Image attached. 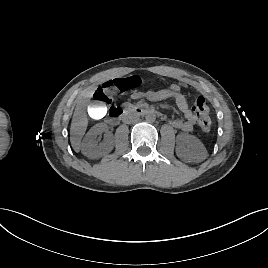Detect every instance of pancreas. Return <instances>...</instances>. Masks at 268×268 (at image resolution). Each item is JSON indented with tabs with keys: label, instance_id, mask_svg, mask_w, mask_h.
<instances>
[{
	"label": "pancreas",
	"instance_id": "cf45deb5",
	"mask_svg": "<svg viewBox=\"0 0 268 268\" xmlns=\"http://www.w3.org/2000/svg\"><path fill=\"white\" fill-rule=\"evenodd\" d=\"M125 106H130V104L129 103H125Z\"/></svg>",
	"mask_w": 268,
	"mask_h": 268
}]
</instances>
